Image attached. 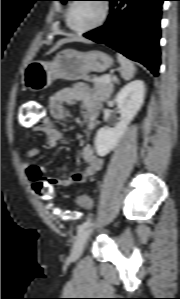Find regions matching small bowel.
<instances>
[{"label":"small bowel","mask_w":180,"mask_h":299,"mask_svg":"<svg viewBox=\"0 0 180 299\" xmlns=\"http://www.w3.org/2000/svg\"><path fill=\"white\" fill-rule=\"evenodd\" d=\"M77 103H80L85 109L87 128L90 130L94 129L99 119L101 103L97 96L84 87H69L54 93L48 101L49 114L55 120L66 122L68 121V116L64 105H74ZM33 130L45 133L47 144L50 147H56L70 141L60 130L55 128L52 121L48 118L42 120L39 125L34 126ZM25 137L29 138L30 133H26ZM38 155L39 149L36 147H30L26 152L28 159L36 158ZM80 155L85 163L82 171L72 172L65 176L47 177L43 168L26 163L24 165L26 177L33 183L41 181L60 187H69L83 183L102 169L103 160L95 153L91 145L83 146Z\"/></svg>","instance_id":"c3829d8e"}]
</instances>
